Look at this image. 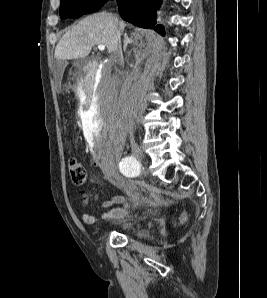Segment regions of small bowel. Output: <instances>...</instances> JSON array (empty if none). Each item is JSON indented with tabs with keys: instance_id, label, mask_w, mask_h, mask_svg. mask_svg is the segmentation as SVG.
I'll return each instance as SVG.
<instances>
[{
	"instance_id": "c3829d8e",
	"label": "small bowel",
	"mask_w": 267,
	"mask_h": 298,
	"mask_svg": "<svg viewBox=\"0 0 267 298\" xmlns=\"http://www.w3.org/2000/svg\"><path fill=\"white\" fill-rule=\"evenodd\" d=\"M110 180L115 186L123 190L124 194L115 195L105 200L102 206L108 209V211L104 212L99 217H95L87 213L83 214L82 220L85 224L92 225L96 223L98 219L122 221L125 218L129 208L133 203L136 190L122 178L112 176L110 177ZM83 202L84 204H89V198L84 196ZM115 205L118 206L114 207Z\"/></svg>"
}]
</instances>
